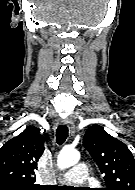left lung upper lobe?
<instances>
[{
	"label": "left lung upper lobe",
	"mask_w": 135,
	"mask_h": 190,
	"mask_svg": "<svg viewBox=\"0 0 135 190\" xmlns=\"http://www.w3.org/2000/svg\"><path fill=\"white\" fill-rule=\"evenodd\" d=\"M83 146L105 174L104 190H135V159L123 142L93 125L84 135Z\"/></svg>",
	"instance_id": "left-lung-upper-lobe-1"
}]
</instances>
